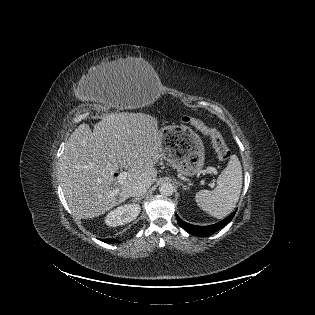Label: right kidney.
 <instances>
[{
	"mask_svg": "<svg viewBox=\"0 0 315 315\" xmlns=\"http://www.w3.org/2000/svg\"><path fill=\"white\" fill-rule=\"evenodd\" d=\"M140 206L138 204H125L110 211L105 223L110 227L125 225L137 218L140 213Z\"/></svg>",
	"mask_w": 315,
	"mask_h": 315,
	"instance_id": "ca27d5eb",
	"label": "right kidney"
}]
</instances>
